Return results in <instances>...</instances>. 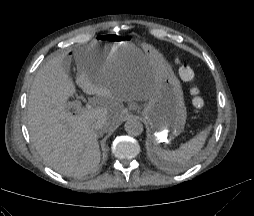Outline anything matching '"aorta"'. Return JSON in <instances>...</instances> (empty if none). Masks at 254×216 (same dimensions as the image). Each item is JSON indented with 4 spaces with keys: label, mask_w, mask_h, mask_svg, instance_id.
<instances>
[{
    "label": "aorta",
    "mask_w": 254,
    "mask_h": 216,
    "mask_svg": "<svg viewBox=\"0 0 254 216\" xmlns=\"http://www.w3.org/2000/svg\"><path fill=\"white\" fill-rule=\"evenodd\" d=\"M125 131L131 136H139L142 134L144 128L140 120L136 118H130L125 122Z\"/></svg>",
    "instance_id": "762f6f07"
}]
</instances>
